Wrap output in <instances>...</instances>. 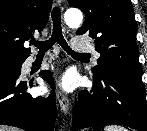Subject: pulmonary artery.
Listing matches in <instances>:
<instances>
[{
  "mask_svg": "<svg viewBox=\"0 0 147 131\" xmlns=\"http://www.w3.org/2000/svg\"><path fill=\"white\" fill-rule=\"evenodd\" d=\"M71 46L75 52H79V53L92 52L95 57H99V53L94 49V47L90 43L84 40L75 38L72 40ZM34 60L35 59L33 57H30L27 59L26 64L31 65L34 62Z\"/></svg>",
  "mask_w": 147,
  "mask_h": 131,
  "instance_id": "pulmonary-artery-1",
  "label": "pulmonary artery"
}]
</instances>
